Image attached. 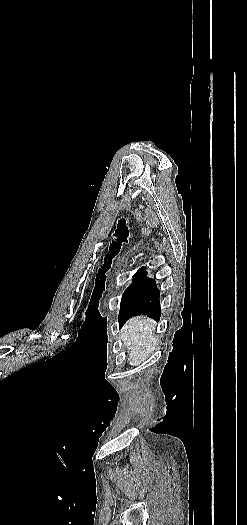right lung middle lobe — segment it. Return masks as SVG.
<instances>
[{
    "instance_id": "right-lung-middle-lobe-1",
    "label": "right lung middle lobe",
    "mask_w": 247,
    "mask_h": 525,
    "mask_svg": "<svg viewBox=\"0 0 247 525\" xmlns=\"http://www.w3.org/2000/svg\"><path fill=\"white\" fill-rule=\"evenodd\" d=\"M145 276H146V270L145 269L139 270L134 275V279H133L132 284L125 290V292H124V294L122 296L121 309H120L119 315L121 314L122 308H123L126 300L133 293V291L137 288V286L140 284V282L145 278Z\"/></svg>"
}]
</instances>
